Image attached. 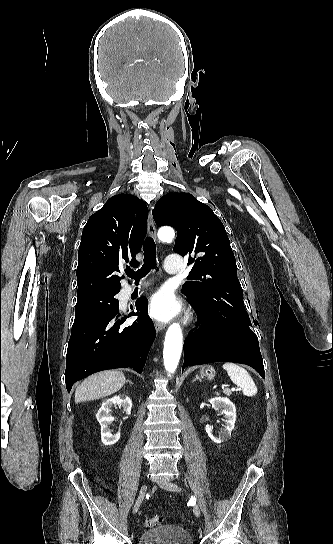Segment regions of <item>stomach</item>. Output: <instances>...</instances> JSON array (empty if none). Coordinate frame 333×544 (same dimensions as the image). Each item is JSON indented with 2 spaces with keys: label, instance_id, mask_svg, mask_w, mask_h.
Returning a JSON list of instances; mask_svg holds the SVG:
<instances>
[{
  "label": "stomach",
  "instance_id": "0dacf381",
  "mask_svg": "<svg viewBox=\"0 0 333 544\" xmlns=\"http://www.w3.org/2000/svg\"><path fill=\"white\" fill-rule=\"evenodd\" d=\"M200 375L202 378L212 380L215 377V369L212 366H204L200 371Z\"/></svg>",
  "mask_w": 333,
  "mask_h": 544
}]
</instances>
